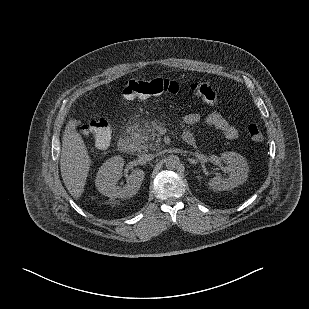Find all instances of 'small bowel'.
Masks as SVG:
<instances>
[{"instance_id":"1","label":"small bowel","mask_w":309,"mask_h":309,"mask_svg":"<svg viewBox=\"0 0 309 309\" xmlns=\"http://www.w3.org/2000/svg\"><path fill=\"white\" fill-rule=\"evenodd\" d=\"M185 123L189 126H192L198 122V115L196 113H189L184 118ZM207 125L219 130L225 138L229 140L236 139L238 137L237 129L231 125L221 114L211 113L206 118ZM190 135L193 137V134L190 130H187L183 136Z\"/></svg>"}]
</instances>
